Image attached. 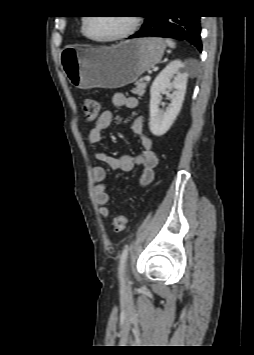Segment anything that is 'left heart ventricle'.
<instances>
[{"label":"left heart ventricle","instance_id":"left-heart-ventricle-1","mask_svg":"<svg viewBox=\"0 0 254 355\" xmlns=\"http://www.w3.org/2000/svg\"><path fill=\"white\" fill-rule=\"evenodd\" d=\"M132 16L94 17L89 23V32L98 38H107L124 32L130 26Z\"/></svg>","mask_w":254,"mask_h":355}]
</instances>
